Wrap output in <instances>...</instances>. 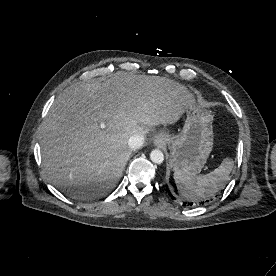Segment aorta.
<instances>
[{
  "label": "aorta",
  "mask_w": 276,
  "mask_h": 276,
  "mask_svg": "<svg viewBox=\"0 0 276 276\" xmlns=\"http://www.w3.org/2000/svg\"><path fill=\"white\" fill-rule=\"evenodd\" d=\"M150 159L156 164H161L164 161V154L161 150L155 149L150 153Z\"/></svg>",
  "instance_id": "1"
}]
</instances>
